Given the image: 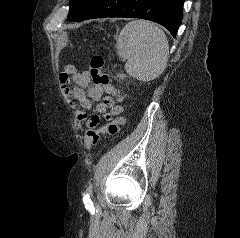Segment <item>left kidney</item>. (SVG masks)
Returning a JSON list of instances; mask_svg holds the SVG:
<instances>
[{
  "label": "left kidney",
  "mask_w": 240,
  "mask_h": 238,
  "mask_svg": "<svg viewBox=\"0 0 240 238\" xmlns=\"http://www.w3.org/2000/svg\"><path fill=\"white\" fill-rule=\"evenodd\" d=\"M117 77H119L120 79H123L125 77L124 74H118Z\"/></svg>",
  "instance_id": "1"
}]
</instances>
